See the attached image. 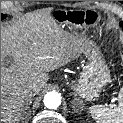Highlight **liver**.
Returning <instances> with one entry per match:
<instances>
[{
    "mask_svg": "<svg viewBox=\"0 0 123 123\" xmlns=\"http://www.w3.org/2000/svg\"><path fill=\"white\" fill-rule=\"evenodd\" d=\"M84 47L69 36L49 12L28 14L1 26V123L24 120L23 91L39 94L48 72L66 65Z\"/></svg>",
    "mask_w": 123,
    "mask_h": 123,
    "instance_id": "6515ba94",
    "label": "liver"
}]
</instances>
